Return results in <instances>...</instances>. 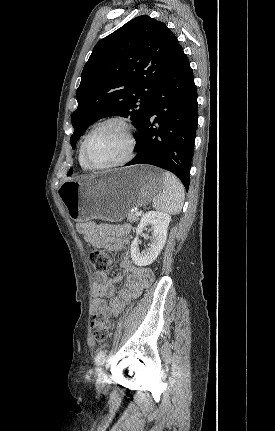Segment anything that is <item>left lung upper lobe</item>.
<instances>
[{"mask_svg":"<svg viewBox=\"0 0 275 431\" xmlns=\"http://www.w3.org/2000/svg\"><path fill=\"white\" fill-rule=\"evenodd\" d=\"M181 48L162 22L139 16L100 40L85 64L72 113L76 141L95 121L107 116L130 118L141 129L153 97ZM72 174V169L67 175Z\"/></svg>","mask_w":275,"mask_h":431,"instance_id":"obj_1","label":"left lung upper lobe"}]
</instances>
